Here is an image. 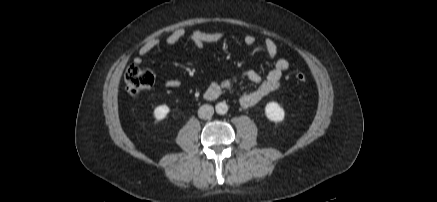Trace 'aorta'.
<instances>
[{
	"label": "aorta",
	"mask_w": 437,
	"mask_h": 202,
	"mask_svg": "<svg viewBox=\"0 0 437 202\" xmlns=\"http://www.w3.org/2000/svg\"><path fill=\"white\" fill-rule=\"evenodd\" d=\"M215 110H216V112L218 114L224 115L228 111V106H227V104L225 102H219V103L216 104Z\"/></svg>",
	"instance_id": "1"
}]
</instances>
